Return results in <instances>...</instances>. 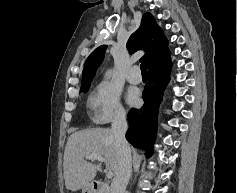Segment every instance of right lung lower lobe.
<instances>
[{
	"instance_id": "1",
	"label": "right lung lower lobe",
	"mask_w": 237,
	"mask_h": 193,
	"mask_svg": "<svg viewBox=\"0 0 237 193\" xmlns=\"http://www.w3.org/2000/svg\"><path fill=\"white\" fill-rule=\"evenodd\" d=\"M170 54L148 67L149 82L143 91L145 104L140 109L132 108L128 113L129 129L126 139L135 148L145 150L150 157L157 132V114L164 88L169 80Z\"/></svg>"
}]
</instances>
